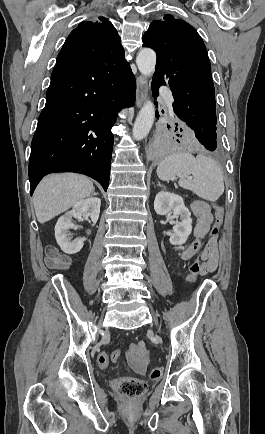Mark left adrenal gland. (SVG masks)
<instances>
[{
  "instance_id": "left-adrenal-gland-1",
  "label": "left adrenal gland",
  "mask_w": 265,
  "mask_h": 434,
  "mask_svg": "<svg viewBox=\"0 0 265 434\" xmlns=\"http://www.w3.org/2000/svg\"><path fill=\"white\" fill-rule=\"evenodd\" d=\"M157 186H160V188H164V190H166L165 186H161L160 182H158Z\"/></svg>"
}]
</instances>
